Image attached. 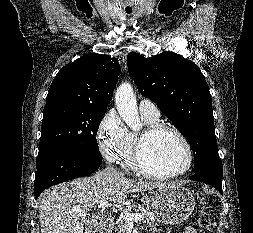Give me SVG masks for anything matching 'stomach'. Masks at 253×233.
<instances>
[{"label": "stomach", "mask_w": 253, "mask_h": 233, "mask_svg": "<svg viewBox=\"0 0 253 233\" xmlns=\"http://www.w3.org/2000/svg\"><path fill=\"white\" fill-rule=\"evenodd\" d=\"M146 208L159 222L177 225L186 220L195 208V198L182 184L168 183L148 190Z\"/></svg>", "instance_id": "stomach-1"}]
</instances>
